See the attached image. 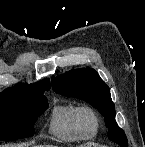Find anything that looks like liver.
I'll use <instances>...</instances> for the list:
<instances>
[{"label":"liver","instance_id":"1","mask_svg":"<svg viewBox=\"0 0 145 147\" xmlns=\"http://www.w3.org/2000/svg\"><path fill=\"white\" fill-rule=\"evenodd\" d=\"M38 147H53L51 145H41V146H38Z\"/></svg>","mask_w":145,"mask_h":147}]
</instances>
